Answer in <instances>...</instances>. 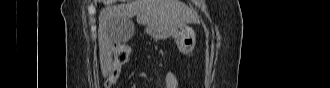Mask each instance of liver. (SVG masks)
I'll return each instance as SVG.
<instances>
[{"label":"liver","instance_id":"6515ba94","mask_svg":"<svg viewBox=\"0 0 330 88\" xmlns=\"http://www.w3.org/2000/svg\"><path fill=\"white\" fill-rule=\"evenodd\" d=\"M147 26L150 33L154 28L186 24L196 19L193 11L180 0H131L129 3L103 8L99 15L98 43L101 71L108 75L114 44L118 42L114 25L130 21Z\"/></svg>","mask_w":330,"mask_h":88}]
</instances>
